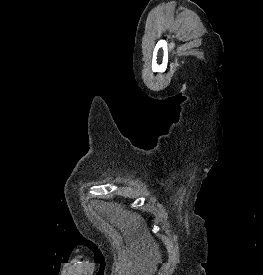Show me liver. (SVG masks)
<instances>
[{
  "label": "liver",
  "instance_id": "1",
  "mask_svg": "<svg viewBox=\"0 0 263 275\" xmlns=\"http://www.w3.org/2000/svg\"><path fill=\"white\" fill-rule=\"evenodd\" d=\"M111 210V220L115 222L118 226L122 228L135 226L140 223V216L136 213H131L130 211L124 210L121 205L116 206V204H108Z\"/></svg>",
  "mask_w": 263,
  "mask_h": 275
}]
</instances>
